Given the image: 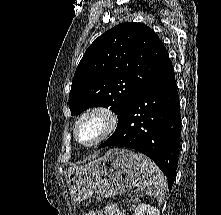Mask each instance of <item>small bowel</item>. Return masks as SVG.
<instances>
[{"instance_id":"c3829d8e","label":"small bowel","mask_w":221,"mask_h":215,"mask_svg":"<svg viewBox=\"0 0 221 215\" xmlns=\"http://www.w3.org/2000/svg\"><path fill=\"white\" fill-rule=\"evenodd\" d=\"M85 215H126L122 213L117 206L108 205L98 210L88 211Z\"/></svg>"}]
</instances>
